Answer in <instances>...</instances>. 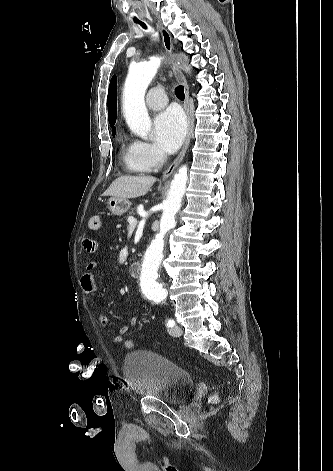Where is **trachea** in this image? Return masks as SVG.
<instances>
[{"instance_id":"obj_1","label":"trachea","mask_w":333,"mask_h":471,"mask_svg":"<svg viewBox=\"0 0 333 471\" xmlns=\"http://www.w3.org/2000/svg\"><path fill=\"white\" fill-rule=\"evenodd\" d=\"M138 24H140L144 29L147 28V26L145 25L144 22L142 21H139V20H135ZM175 94L177 96V98H179L180 100H184V86L182 85H179L176 87L175 89Z\"/></svg>"}]
</instances>
